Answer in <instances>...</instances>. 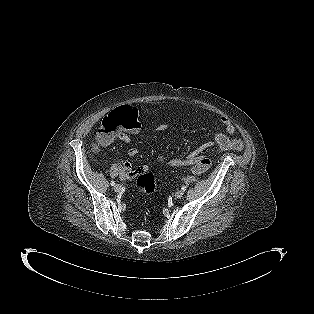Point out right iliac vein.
Segmentation results:
<instances>
[{
    "mask_svg": "<svg viewBox=\"0 0 314 314\" xmlns=\"http://www.w3.org/2000/svg\"><path fill=\"white\" fill-rule=\"evenodd\" d=\"M114 190H115V192H120L122 190V186L120 184H116L114 186Z\"/></svg>",
    "mask_w": 314,
    "mask_h": 314,
    "instance_id": "right-iliac-vein-1",
    "label": "right iliac vein"
}]
</instances>
